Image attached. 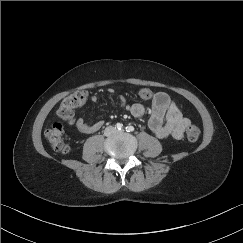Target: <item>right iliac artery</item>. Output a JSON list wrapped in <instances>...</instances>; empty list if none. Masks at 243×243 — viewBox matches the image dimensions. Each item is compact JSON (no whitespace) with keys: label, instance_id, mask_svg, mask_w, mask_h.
Masks as SVG:
<instances>
[{"label":"right iliac artery","instance_id":"82829eb1","mask_svg":"<svg viewBox=\"0 0 243 243\" xmlns=\"http://www.w3.org/2000/svg\"><path fill=\"white\" fill-rule=\"evenodd\" d=\"M116 128H117L118 130H121V129L123 128V124H122V123H117V124H116Z\"/></svg>","mask_w":243,"mask_h":243}]
</instances>
